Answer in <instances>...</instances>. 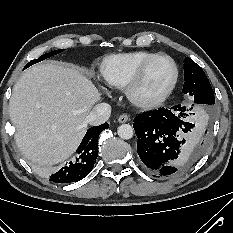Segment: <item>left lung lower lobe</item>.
Listing matches in <instances>:
<instances>
[{
	"label": "left lung lower lobe",
	"mask_w": 233,
	"mask_h": 233,
	"mask_svg": "<svg viewBox=\"0 0 233 233\" xmlns=\"http://www.w3.org/2000/svg\"><path fill=\"white\" fill-rule=\"evenodd\" d=\"M185 110L179 104L169 109L145 112L134 118L138 155L154 175L164 178L175 176L202 153V146L190 147L186 144L185 134L192 132L194 125L182 121L189 116ZM176 111L180 113L174 114Z\"/></svg>",
	"instance_id": "0a47b994"
}]
</instances>
